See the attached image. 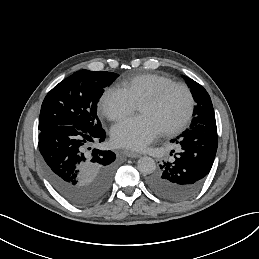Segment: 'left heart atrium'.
I'll return each mask as SVG.
<instances>
[{"instance_id":"left-heart-atrium-1","label":"left heart atrium","mask_w":259,"mask_h":259,"mask_svg":"<svg viewBox=\"0 0 259 259\" xmlns=\"http://www.w3.org/2000/svg\"><path fill=\"white\" fill-rule=\"evenodd\" d=\"M161 129L148 117L124 119L112 127V141L117 146L144 149L161 134Z\"/></svg>"}]
</instances>
